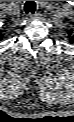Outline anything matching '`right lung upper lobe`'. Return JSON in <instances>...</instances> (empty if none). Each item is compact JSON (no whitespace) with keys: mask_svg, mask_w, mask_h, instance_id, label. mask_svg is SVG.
<instances>
[{"mask_svg":"<svg viewBox=\"0 0 74 122\" xmlns=\"http://www.w3.org/2000/svg\"><path fill=\"white\" fill-rule=\"evenodd\" d=\"M1 38H2V35L0 34V40H1Z\"/></svg>","mask_w":74,"mask_h":122,"instance_id":"1","label":"right lung upper lobe"}]
</instances>
